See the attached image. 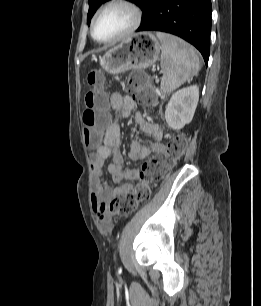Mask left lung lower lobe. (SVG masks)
<instances>
[{
	"label": "left lung lower lobe",
	"mask_w": 261,
	"mask_h": 306,
	"mask_svg": "<svg viewBox=\"0 0 261 306\" xmlns=\"http://www.w3.org/2000/svg\"><path fill=\"white\" fill-rule=\"evenodd\" d=\"M140 27L174 34L195 46L208 63L211 31V0H148Z\"/></svg>",
	"instance_id": "obj_1"
}]
</instances>
